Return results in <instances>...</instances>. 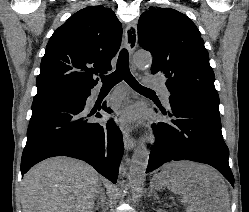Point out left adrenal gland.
<instances>
[{"label": "left adrenal gland", "instance_id": "left-adrenal-gland-1", "mask_svg": "<svg viewBox=\"0 0 249 212\" xmlns=\"http://www.w3.org/2000/svg\"><path fill=\"white\" fill-rule=\"evenodd\" d=\"M148 196H152V190H150V192H148Z\"/></svg>", "mask_w": 249, "mask_h": 212}]
</instances>
